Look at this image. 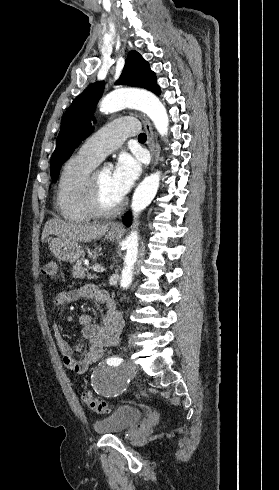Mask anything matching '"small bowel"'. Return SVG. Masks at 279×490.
Listing matches in <instances>:
<instances>
[{"label": "small bowel", "mask_w": 279, "mask_h": 490, "mask_svg": "<svg viewBox=\"0 0 279 490\" xmlns=\"http://www.w3.org/2000/svg\"><path fill=\"white\" fill-rule=\"evenodd\" d=\"M83 299H92L104 308L100 323H94L93 316L88 313L78 315V322L82 326V338L90 343L87 349H82L80 345L76 348L70 345L59 325L54 319L52 321V331L62 354L63 364L76 373H85L90 365L103 356L107 348L117 346L123 328L122 316L113 299L106 291L91 284L58 293L52 301L53 316L65 305ZM75 350L82 351L83 357L80 360L75 359Z\"/></svg>", "instance_id": "small-bowel-1"}]
</instances>
